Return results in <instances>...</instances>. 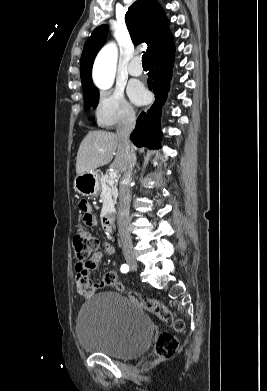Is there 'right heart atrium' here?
<instances>
[{"instance_id": "1", "label": "right heart atrium", "mask_w": 267, "mask_h": 391, "mask_svg": "<svg viewBox=\"0 0 267 391\" xmlns=\"http://www.w3.org/2000/svg\"><path fill=\"white\" fill-rule=\"evenodd\" d=\"M94 117L100 127L110 129L133 123L136 113L121 91L112 90L100 94L94 107Z\"/></svg>"}]
</instances>
